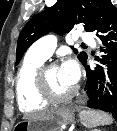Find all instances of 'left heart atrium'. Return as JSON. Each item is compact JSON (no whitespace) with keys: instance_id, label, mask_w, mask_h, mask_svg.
<instances>
[{"instance_id":"obj_1","label":"left heart atrium","mask_w":117,"mask_h":131,"mask_svg":"<svg viewBox=\"0 0 117 131\" xmlns=\"http://www.w3.org/2000/svg\"><path fill=\"white\" fill-rule=\"evenodd\" d=\"M61 73L64 77V79L72 84L75 85L80 77V71L77 63L69 59L66 62L63 63V65L60 67Z\"/></svg>"}]
</instances>
